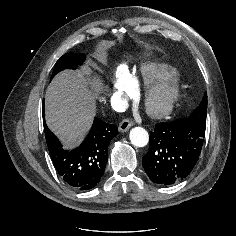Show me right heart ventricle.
<instances>
[{"mask_svg":"<svg viewBox=\"0 0 236 236\" xmlns=\"http://www.w3.org/2000/svg\"><path fill=\"white\" fill-rule=\"evenodd\" d=\"M130 82L134 91H137L142 85H148L164 79H176L178 72L175 68L146 62L139 66L138 70L129 71Z\"/></svg>","mask_w":236,"mask_h":236,"instance_id":"1","label":"right heart ventricle"}]
</instances>
